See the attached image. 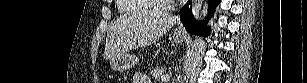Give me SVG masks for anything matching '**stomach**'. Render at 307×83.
I'll return each instance as SVG.
<instances>
[{"mask_svg":"<svg viewBox=\"0 0 307 83\" xmlns=\"http://www.w3.org/2000/svg\"><path fill=\"white\" fill-rule=\"evenodd\" d=\"M184 33L181 31H175L173 34V40L176 43H182ZM137 58L134 56L119 55L110 59V65L115 71L123 72L130 69L136 64Z\"/></svg>","mask_w":307,"mask_h":83,"instance_id":"obj_1","label":"stomach"}]
</instances>
